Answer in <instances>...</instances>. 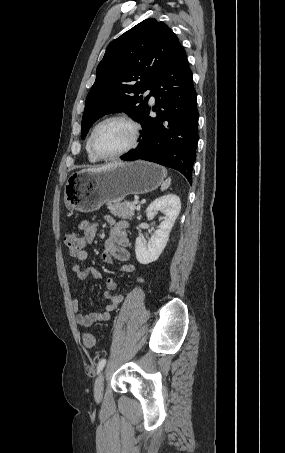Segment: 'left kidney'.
<instances>
[{"mask_svg":"<svg viewBox=\"0 0 285 453\" xmlns=\"http://www.w3.org/2000/svg\"><path fill=\"white\" fill-rule=\"evenodd\" d=\"M180 210V198L175 194L161 196L148 206L146 214L149 219H153L158 212L163 213L164 218L148 242L142 237L136 238L135 253L139 263L149 264L159 258L167 245L169 234Z\"/></svg>","mask_w":285,"mask_h":453,"instance_id":"5707ae66","label":"left kidney"}]
</instances>
